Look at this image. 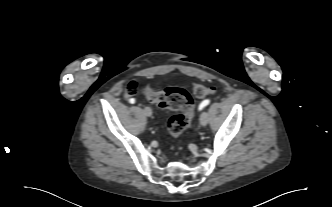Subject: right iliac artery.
I'll list each match as a JSON object with an SVG mask.
<instances>
[{
    "label": "right iliac artery",
    "mask_w": 332,
    "mask_h": 207,
    "mask_svg": "<svg viewBox=\"0 0 332 207\" xmlns=\"http://www.w3.org/2000/svg\"><path fill=\"white\" fill-rule=\"evenodd\" d=\"M129 102H130L131 104H134V103H135V99L131 98V99L129 100Z\"/></svg>",
    "instance_id": "obj_1"
}]
</instances>
